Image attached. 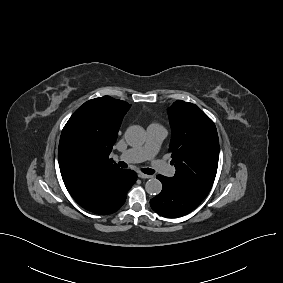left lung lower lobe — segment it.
I'll use <instances>...</instances> for the list:
<instances>
[{
  "label": "left lung lower lobe",
  "instance_id": "0a47b994",
  "mask_svg": "<svg viewBox=\"0 0 283 283\" xmlns=\"http://www.w3.org/2000/svg\"><path fill=\"white\" fill-rule=\"evenodd\" d=\"M163 188L150 200L151 208L161 216L177 218L193 211L204 199L173 177L158 175Z\"/></svg>",
  "mask_w": 283,
  "mask_h": 283
}]
</instances>
